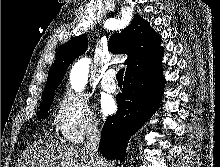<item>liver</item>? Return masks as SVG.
I'll use <instances>...</instances> for the list:
<instances>
[{"instance_id":"1","label":"liver","mask_w":220,"mask_h":167,"mask_svg":"<svg viewBox=\"0 0 220 167\" xmlns=\"http://www.w3.org/2000/svg\"><path fill=\"white\" fill-rule=\"evenodd\" d=\"M16 167H107V161L98 164L78 146L40 140L23 152Z\"/></svg>"}]
</instances>
